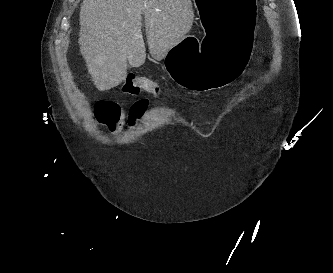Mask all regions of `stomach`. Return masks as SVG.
Instances as JSON below:
<instances>
[{
    "label": "stomach",
    "mask_w": 333,
    "mask_h": 273,
    "mask_svg": "<svg viewBox=\"0 0 333 273\" xmlns=\"http://www.w3.org/2000/svg\"><path fill=\"white\" fill-rule=\"evenodd\" d=\"M203 39L187 35L174 45L166 68L180 86L207 91L237 81L253 51L256 0H194ZM192 37V38H191Z\"/></svg>",
    "instance_id": "obj_1"
}]
</instances>
